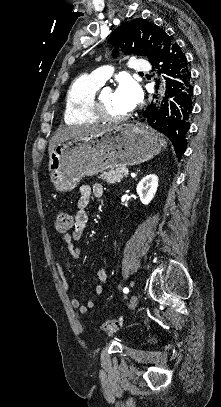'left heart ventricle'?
Instances as JSON below:
<instances>
[{"label": "left heart ventricle", "mask_w": 221, "mask_h": 407, "mask_svg": "<svg viewBox=\"0 0 221 407\" xmlns=\"http://www.w3.org/2000/svg\"><path fill=\"white\" fill-rule=\"evenodd\" d=\"M101 98L105 102L110 113L114 115H123L129 113V110L123 105L114 90H109L102 93Z\"/></svg>", "instance_id": "b2bd125f"}]
</instances>
